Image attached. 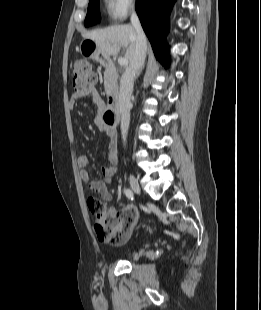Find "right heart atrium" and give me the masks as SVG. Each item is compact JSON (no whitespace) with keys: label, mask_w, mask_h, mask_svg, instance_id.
Masks as SVG:
<instances>
[{"label":"right heart atrium","mask_w":261,"mask_h":310,"mask_svg":"<svg viewBox=\"0 0 261 310\" xmlns=\"http://www.w3.org/2000/svg\"><path fill=\"white\" fill-rule=\"evenodd\" d=\"M136 0H106L107 12L114 22H121L135 9Z\"/></svg>","instance_id":"obj_1"}]
</instances>
